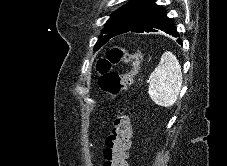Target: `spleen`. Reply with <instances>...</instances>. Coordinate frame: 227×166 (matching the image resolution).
Listing matches in <instances>:
<instances>
[{
  "label": "spleen",
  "mask_w": 227,
  "mask_h": 166,
  "mask_svg": "<svg viewBox=\"0 0 227 166\" xmlns=\"http://www.w3.org/2000/svg\"><path fill=\"white\" fill-rule=\"evenodd\" d=\"M148 94L151 100L162 107H171L177 101L182 87V71L176 56L166 51L158 66L150 74Z\"/></svg>",
  "instance_id": "obj_1"
}]
</instances>
